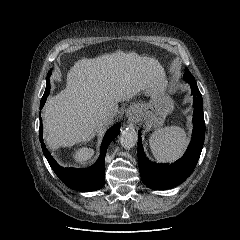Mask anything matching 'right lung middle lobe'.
Segmentation results:
<instances>
[{"label": "right lung middle lobe", "mask_w": 240, "mask_h": 240, "mask_svg": "<svg viewBox=\"0 0 240 240\" xmlns=\"http://www.w3.org/2000/svg\"><path fill=\"white\" fill-rule=\"evenodd\" d=\"M50 75H51V72L49 71V73H48V77H47L46 89H45V93H44L42 99L47 98V96L49 95V92H50L49 76H50Z\"/></svg>", "instance_id": "1"}]
</instances>
